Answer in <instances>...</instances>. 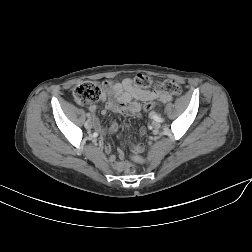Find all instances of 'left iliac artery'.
<instances>
[{"label":"left iliac artery","mask_w":252,"mask_h":252,"mask_svg":"<svg viewBox=\"0 0 252 252\" xmlns=\"http://www.w3.org/2000/svg\"><path fill=\"white\" fill-rule=\"evenodd\" d=\"M154 120H156V121H158V122H164V119L163 118H161V117H157V118H155Z\"/></svg>","instance_id":"obj_1"}]
</instances>
